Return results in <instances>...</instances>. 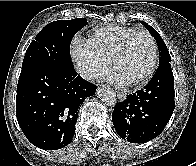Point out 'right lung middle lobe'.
Wrapping results in <instances>:
<instances>
[{
    "mask_svg": "<svg viewBox=\"0 0 196 166\" xmlns=\"http://www.w3.org/2000/svg\"><path fill=\"white\" fill-rule=\"evenodd\" d=\"M86 24L85 18H76L46 25L29 45L22 67L37 62H51L72 68L69 46L74 35Z\"/></svg>",
    "mask_w": 196,
    "mask_h": 166,
    "instance_id": "1",
    "label": "right lung middle lobe"
}]
</instances>
